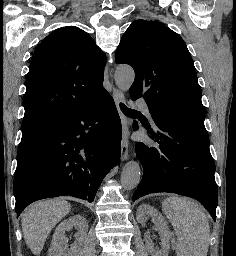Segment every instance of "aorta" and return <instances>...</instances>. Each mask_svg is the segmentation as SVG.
Wrapping results in <instances>:
<instances>
[{
  "mask_svg": "<svg viewBox=\"0 0 236 256\" xmlns=\"http://www.w3.org/2000/svg\"><path fill=\"white\" fill-rule=\"evenodd\" d=\"M135 79L134 70L127 65L117 67L115 71V81L120 90L126 92L130 89ZM141 179V169L136 161H129L124 166L121 173V184L124 189L132 190L139 184Z\"/></svg>",
  "mask_w": 236,
  "mask_h": 256,
  "instance_id": "obj_1",
  "label": "aorta"
}]
</instances>
